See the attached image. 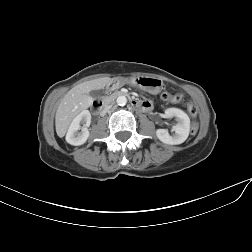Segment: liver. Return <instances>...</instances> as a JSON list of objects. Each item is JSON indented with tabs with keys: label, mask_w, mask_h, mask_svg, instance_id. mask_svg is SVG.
Returning <instances> with one entry per match:
<instances>
[{
	"label": "liver",
	"mask_w": 252,
	"mask_h": 252,
	"mask_svg": "<svg viewBox=\"0 0 252 252\" xmlns=\"http://www.w3.org/2000/svg\"><path fill=\"white\" fill-rule=\"evenodd\" d=\"M111 78H99L83 82L72 88L61 100L55 117L56 132L58 136H64L69 124L83 109L88 108L93 98L89 93L93 90L103 89Z\"/></svg>",
	"instance_id": "6515ba94"
}]
</instances>
